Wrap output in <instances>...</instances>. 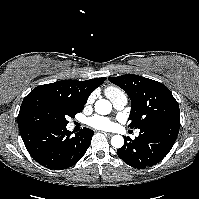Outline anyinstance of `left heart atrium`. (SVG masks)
<instances>
[{
	"label": "left heart atrium",
	"instance_id": "left-heart-atrium-1",
	"mask_svg": "<svg viewBox=\"0 0 199 199\" xmlns=\"http://www.w3.org/2000/svg\"><path fill=\"white\" fill-rule=\"evenodd\" d=\"M89 124L98 129H107L112 126V122L102 116H94L89 119Z\"/></svg>",
	"mask_w": 199,
	"mask_h": 199
}]
</instances>
